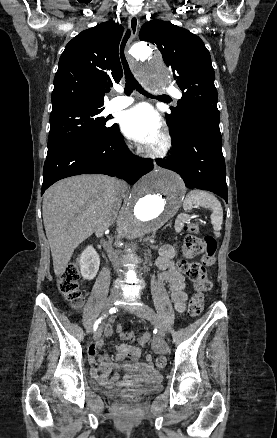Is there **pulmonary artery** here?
<instances>
[{"label":"pulmonary artery","mask_w":277,"mask_h":438,"mask_svg":"<svg viewBox=\"0 0 277 438\" xmlns=\"http://www.w3.org/2000/svg\"><path fill=\"white\" fill-rule=\"evenodd\" d=\"M124 95L130 96L133 93L132 88L126 87L123 90ZM134 100L132 98H115L111 102V108L113 111L122 110L128 108L133 104Z\"/></svg>","instance_id":"obj_1"}]
</instances>
